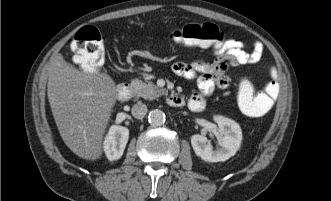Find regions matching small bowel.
Masks as SVG:
<instances>
[{"instance_id":"1","label":"small bowel","mask_w":331,"mask_h":201,"mask_svg":"<svg viewBox=\"0 0 331 201\" xmlns=\"http://www.w3.org/2000/svg\"><path fill=\"white\" fill-rule=\"evenodd\" d=\"M263 53V44L254 42L251 51H246L244 44L237 39L226 40L218 49H213L214 59L206 62L198 59L192 62L178 61L173 65L176 75L196 80L197 90L188 99V107L194 112L205 108V97L210 96L216 88L227 89L231 79L226 75L229 66L257 63Z\"/></svg>"}]
</instances>
